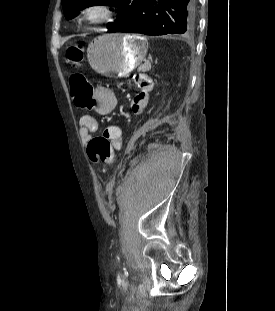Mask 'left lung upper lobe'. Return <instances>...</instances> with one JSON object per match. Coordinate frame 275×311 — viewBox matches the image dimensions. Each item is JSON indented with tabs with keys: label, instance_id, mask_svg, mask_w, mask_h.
Masks as SVG:
<instances>
[{
	"label": "left lung upper lobe",
	"instance_id": "obj_1",
	"mask_svg": "<svg viewBox=\"0 0 275 311\" xmlns=\"http://www.w3.org/2000/svg\"><path fill=\"white\" fill-rule=\"evenodd\" d=\"M66 19L75 17L79 10L93 5L119 6L114 23H108V30H118L132 21L143 0H61Z\"/></svg>",
	"mask_w": 275,
	"mask_h": 311
}]
</instances>
